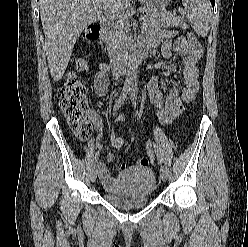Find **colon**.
Returning <instances> with one entry per match:
<instances>
[{
	"label": "colon",
	"instance_id": "obj_1",
	"mask_svg": "<svg viewBox=\"0 0 248 247\" xmlns=\"http://www.w3.org/2000/svg\"><path fill=\"white\" fill-rule=\"evenodd\" d=\"M88 41L97 40L99 38V29L97 23L87 26L83 34ZM191 42H196L197 38L190 33L187 36ZM79 70H85L86 64L83 60L77 61ZM57 98L66 122L73 133L74 137L82 142L88 143L91 136L90 110L86 96V89L81 78L75 73H69L65 82L58 88ZM169 123L167 109L162 106L157 111V129ZM157 131H153L146 145L147 159L149 163L155 162V139Z\"/></svg>",
	"mask_w": 248,
	"mask_h": 247
}]
</instances>
